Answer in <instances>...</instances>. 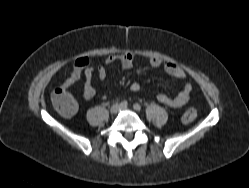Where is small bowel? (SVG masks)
<instances>
[{"mask_svg":"<svg viewBox=\"0 0 249 188\" xmlns=\"http://www.w3.org/2000/svg\"><path fill=\"white\" fill-rule=\"evenodd\" d=\"M149 64L152 67L158 68L163 67L166 74L173 79H185L186 73L185 71L179 67L178 65L162 61L160 58L151 56L149 57ZM105 63L107 65L118 63L124 69H130L133 67L135 63V55L132 53H122V54H115L110 55L106 58ZM84 75L86 78L84 87H83V96L86 100H92L95 95L96 91L92 83V78L96 74L98 78L104 79L107 76V69L105 66H98L94 68L90 65V60L86 57H81L77 59L73 65V68L70 72L69 77L62 83L60 86L63 89L68 90L69 87L76 82L81 75ZM132 91H139L140 85L138 83H133L131 85ZM192 91V84L190 82H186L183 87L181 88L180 92L174 96H168L166 94H159L157 99L160 103L171 107V108H180L188 103L191 97Z\"/></svg>","mask_w":249,"mask_h":188,"instance_id":"obj_1","label":"small bowel"}]
</instances>
